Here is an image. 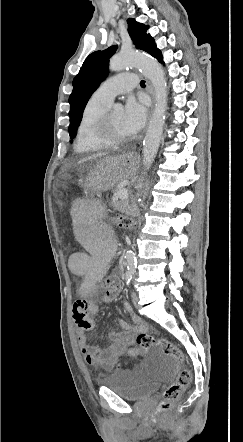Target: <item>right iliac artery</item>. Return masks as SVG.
<instances>
[{
  "label": "right iliac artery",
  "instance_id": "obj_1",
  "mask_svg": "<svg viewBox=\"0 0 243 442\" xmlns=\"http://www.w3.org/2000/svg\"><path fill=\"white\" fill-rule=\"evenodd\" d=\"M133 273L132 272H127L126 273V284L129 285L130 281L132 279Z\"/></svg>",
  "mask_w": 243,
  "mask_h": 442
}]
</instances>
